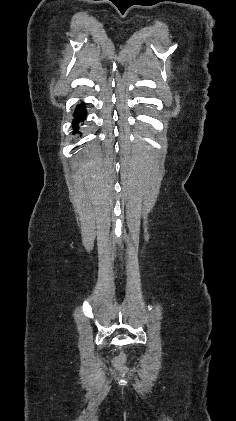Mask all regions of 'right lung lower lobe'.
I'll list each match as a JSON object with an SVG mask.
<instances>
[{"label":"right lung lower lobe","instance_id":"right-lung-lower-lobe-1","mask_svg":"<svg viewBox=\"0 0 236 421\" xmlns=\"http://www.w3.org/2000/svg\"><path fill=\"white\" fill-rule=\"evenodd\" d=\"M86 116V109H85V105L83 103L77 105L76 109H75V113L73 115L74 119H73V133H77L78 129H79V123L81 121H83L85 119Z\"/></svg>","mask_w":236,"mask_h":421}]
</instances>
